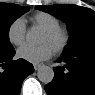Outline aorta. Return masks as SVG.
Wrapping results in <instances>:
<instances>
[{
	"label": "aorta",
	"instance_id": "obj_1",
	"mask_svg": "<svg viewBox=\"0 0 95 95\" xmlns=\"http://www.w3.org/2000/svg\"><path fill=\"white\" fill-rule=\"evenodd\" d=\"M37 38L38 34L34 29L29 30L26 34V39L30 42L35 41ZM37 77L42 83L49 84L54 78V71L51 67L42 65L38 69Z\"/></svg>",
	"mask_w": 95,
	"mask_h": 95
}]
</instances>
